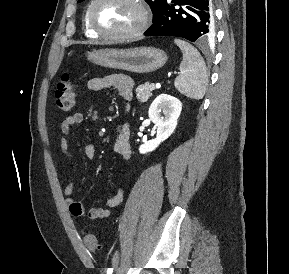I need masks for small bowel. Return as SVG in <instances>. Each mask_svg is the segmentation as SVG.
Segmentation results:
<instances>
[{
	"mask_svg": "<svg viewBox=\"0 0 289 274\" xmlns=\"http://www.w3.org/2000/svg\"><path fill=\"white\" fill-rule=\"evenodd\" d=\"M87 88L90 91L115 89L119 93L120 97L128 103L132 98L133 81L131 78L125 75L97 77L88 81ZM83 119L84 116L82 113L75 112L65 118L61 123L60 147L63 155L68 159H72L73 156L69 149L67 137L71 133L72 127L82 123ZM129 137L130 125L125 123L119 129L117 139L114 144V152L124 161L129 160L131 157ZM83 152L87 158H94L96 154L95 144L92 142H87L84 145ZM64 194L66 196V203L71 214L75 217L87 218L90 220L104 219L109 217L111 215L112 209L117 207L122 202L124 196L123 189L119 187L114 195L107 199L104 207H94L88 209L82 202L77 201L74 198V186L71 181L66 184L64 188Z\"/></svg>",
	"mask_w": 289,
	"mask_h": 274,
	"instance_id": "obj_1",
	"label": "small bowel"
}]
</instances>
